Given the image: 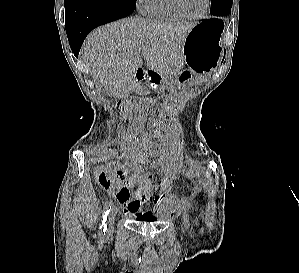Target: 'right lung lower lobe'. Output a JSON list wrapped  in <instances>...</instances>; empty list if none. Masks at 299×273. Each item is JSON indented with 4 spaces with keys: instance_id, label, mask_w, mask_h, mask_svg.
I'll list each match as a JSON object with an SVG mask.
<instances>
[{
    "instance_id": "1",
    "label": "right lung lower lobe",
    "mask_w": 299,
    "mask_h": 273,
    "mask_svg": "<svg viewBox=\"0 0 299 273\" xmlns=\"http://www.w3.org/2000/svg\"><path fill=\"white\" fill-rule=\"evenodd\" d=\"M64 3L66 33L77 58L91 30L130 15L136 7V1L128 0H65Z\"/></svg>"
}]
</instances>
